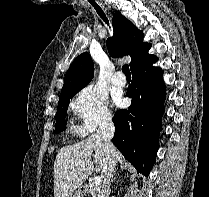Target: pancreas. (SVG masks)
<instances>
[{"label":"pancreas","mask_w":209,"mask_h":197,"mask_svg":"<svg viewBox=\"0 0 209 197\" xmlns=\"http://www.w3.org/2000/svg\"><path fill=\"white\" fill-rule=\"evenodd\" d=\"M100 186L96 185L94 182L91 183L86 189L87 193H91L92 197H100Z\"/></svg>","instance_id":"pancreas-1"}]
</instances>
